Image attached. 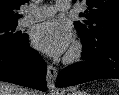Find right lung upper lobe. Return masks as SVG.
Here are the masks:
<instances>
[{
  "mask_svg": "<svg viewBox=\"0 0 119 95\" xmlns=\"http://www.w3.org/2000/svg\"><path fill=\"white\" fill-rule=\"evenodd\" d=\"M28 0H0V25L18 23L20 6Z\"/></svg>",
  "mask_w": 119,
  "mask_h": 95,
  "instance_id": "cb5924a9",
  "label": "right lung upper lobe"
}]
</instances>
